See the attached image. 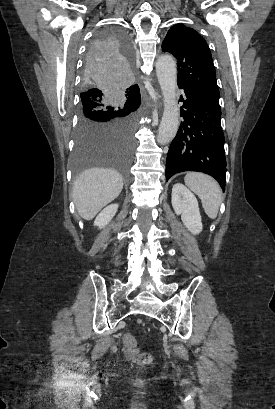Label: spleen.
<instances>
[{"label": "spleen", "mask_w": 275, "mask_h": 409, "mask_svg": "<svg viewBox=\"0 0 275 409\" xmlns=\"http://www.w3.org/2000/svg\"><path fill=\"white\" fill-rule=\"evenodd\" d=\"M184 180L185 184L201 198L206 215L210 219H216L222 198L217 180L202 172H187Z\"/></svg>", "instance_id": "1"}]
</instances>
